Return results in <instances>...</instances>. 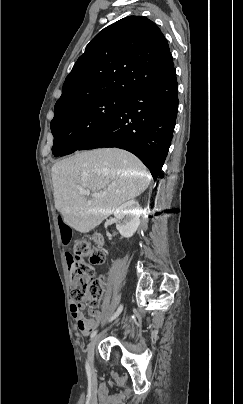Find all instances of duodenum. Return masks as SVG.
<instances>
[{
    "label": "duodenum",
    "mask_w": 243,
    "mask_h": 404,
    "mask_svg": "<svg viewBox=\"0 0 243 404\" xmlns=\"http://www.w3.org/2000/svg\"><path fill=\"white\" fill-rule=\"evenodd\" d=\"M95 240L99 243V244H101L102 243V238H101V236L100 235H95Z\"/></svg>",
    "instance_id": "410a0bca"
}]
</instances>
